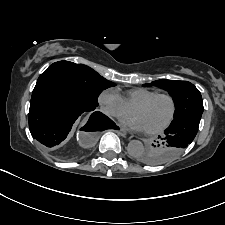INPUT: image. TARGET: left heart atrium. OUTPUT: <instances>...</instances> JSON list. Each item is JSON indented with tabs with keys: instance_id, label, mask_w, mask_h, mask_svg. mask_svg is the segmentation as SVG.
Returning <instances> with one entry per match:
<instances>
[{
	"instance_id": "1",
	"label": "left heart atrium",
	"mask_w": 225,
	"mask_h": 225,
	"mask_svg": "<svg viewBox=\"0 0 225 225\" xmlns=\"http://www.w3.org/2000/svg\"><path fill=\"white\" fill-rule=\"evenodd\" d=\"M122 121L126 126H128L129 128H131L135 131H144L145 130L144 125L141 122V120L134 115L126 117Z\"/></svg>"
}]
</instances>
